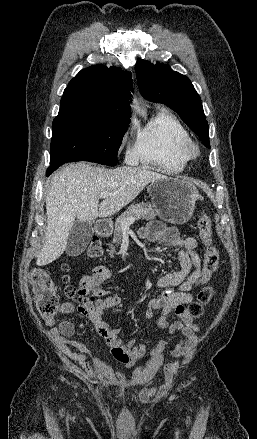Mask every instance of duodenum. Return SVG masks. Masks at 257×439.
I'll list each match as a JSON object with an SVG mask.
<instances>
[{
  "instance_id": "1",
  "label": "duodenum",
  "mask_w": 257,
  "mask_h": 439,
  "mask_svg": "<svg viewBox=\"0 0 257 439\" xmlns=\"http://www.w3.org/2000/svg\"><path fill=\"white\" fill-rule=\"evenodd\" d=\"M110 223L108 221L99 220L96 222V231L100 236H107L110 232Z\"/></svg>"
}]
</instances>
